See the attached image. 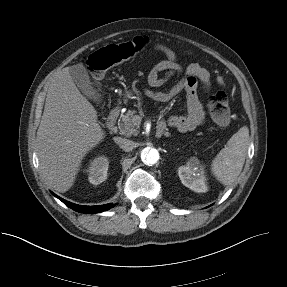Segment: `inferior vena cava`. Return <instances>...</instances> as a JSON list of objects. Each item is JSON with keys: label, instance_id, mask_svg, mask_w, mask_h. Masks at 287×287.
<instances>
[{"label": "inferior vena cava", "instance_id": "1", "mask_svg": "<svg viewBox=\"0 0 287 287\" xmlns=\"http://www.w3.org/2000/svg\"><path fill=\"white\" fill-rule=\"evenodd\" d=\"M113 139L115 143L118 144L126 152H129L134 148V142L129 139L122 137H114Z\"/></svg>", "mask_w": 287, "mask_h": 287}]
</instances>
